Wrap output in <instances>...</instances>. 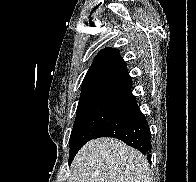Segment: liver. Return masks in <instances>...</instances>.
<instances>
[{"instance_id":"obj_1","label":"liver","mask_w":196,"mask_h":182,"mask_svg":"<svg viewBox=\"0 0 196 182\" xmlns=\"http://www.w3.org/2000/svg\"><path fill=\"white\" fill-rule=\"evenodd\" d=\"M68 182H152L146 157L114 138L86 143L75 156Z\"/></svg>"}]
</instances>
